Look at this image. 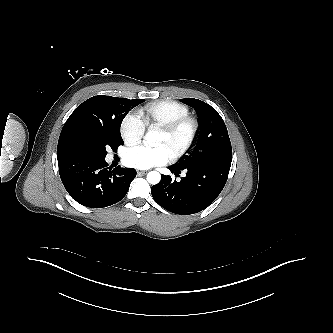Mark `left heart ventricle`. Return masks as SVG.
<instances>
[{"instance_id": "b2bd125f", "label": "left heart ventricle", "mask_w": 333, "mask_h": 333, "mask_svg": "<svg viewBox=\"0 0 333 333\" xmlns=\"http://www.w3.org/2000/svg\"><path fill=\"white\" fill-rule=\"evenodd\" d=\"M187 136V129H181L174 137L170 138L162 131L159 132V137L157 140L158 145L166 146L170 152L173 151L174 148L179 146Z\"/></svg>"}]
</instances>
